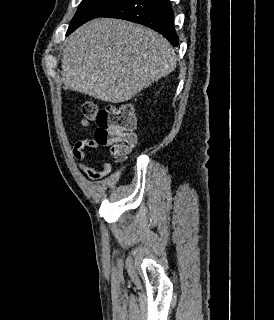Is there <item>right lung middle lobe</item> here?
Here are the masks:
<instances>
[{
    "mask_svg": "<svg viewBox=\"0 0 274 320\" xmlns=\"http://www.w3.org/2000/svg\"><path fill=\"white\" fill-rule=\"evenodd\" d=\"M119 1L120 0H82L70 23L66 35L72 33L85 22L98 17L101 13L113 7Z\"/></svg>",
    "mask_w": 274,
    "mask_h": 320,
    "instance_id": "dd1d6c3e",
    "label": "right lung middle lobe"
}]
</instances>
